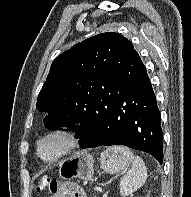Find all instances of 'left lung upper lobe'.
<instances>
[{
    "label": "left lung upper lobe",
    "mask_w": 191,
    "mask_h": 197,
    "mask_svg": "<svg viewBox=\"0 0 191 197\" xmlns=\"http://www.w3.org/2000/svg\"><path fill=\"white\" fill-rule=\"evenodd\" d=\"M145 69L132 43L115 32L90 37L59 55L38 95L36 108L50 130L79 126L120 87L130 72Z\"/></svg>",
    "instance_id": "1"
}]
</instances>
